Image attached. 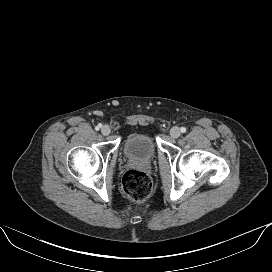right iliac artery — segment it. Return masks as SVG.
<instances>
[{"mask_svg": "<svg viewBox=\"0 0 272 272\" xmlns=\"http://www.w3.org/2000/svg\"><path fill=\"white\" fill-rule=\"evenodd\" d=\"M101 127H102V125H101V124H98V125L95 127V129H96V130H99Z\"/></svg>", "mask_w": 272, "mask_h": 272, "instance_id": "right-iliac-artery-1", "label": "right iliac artery"}]
</instances>
